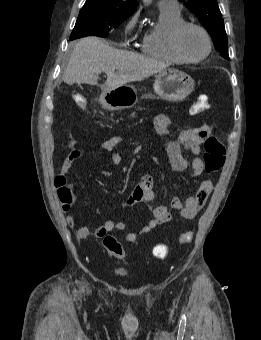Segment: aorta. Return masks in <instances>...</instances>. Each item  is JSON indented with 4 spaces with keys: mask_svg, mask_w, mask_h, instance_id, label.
Masks as SVG:
<instances>
[{
    "mask_svg": "<svg viewBox=\"0 0 261 340\" xmlns=\"http://www.w3.org/2000/svg\"><path fill=\"white\" fill-rule=\"evenodd\" d=\"M152 0H143L144 3H150Z\"/></svg>",
    "mask_w": 261,
    "mask_h": 340,
    "instance_id": "obj_1",
    "label": "aorta"
}]
</instances>
